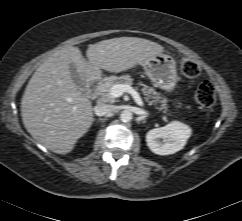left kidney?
Here are the masks:
<instances>
[{"mask_svg":"<svg viewBox=\"0 0 242 221\" xmlns=\"http://www.w3.org/2000/svg\"><path fill=\"white\" fill-rule=\"evenodd\" d=\"M190 135L191 129L188 125L173 121L164 127L148 131L146 142L155 154L169 155L183 149Z\"/></svg>","mask_w":242,"mask_h":221,"instance_id":"5707ae66","label":"left kidney"}]
</instances>
